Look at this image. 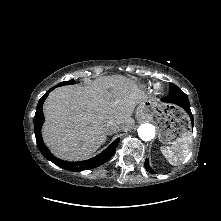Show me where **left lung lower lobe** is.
I'll list each match as a JSON object with an SVG mask.
<instances>
[{
	"instance_id": "left-lung-lower-lobe-1",
	"label": "left lung lower lobe",
	"mask_w": 221,
	"mask_h": 221,
	"mask_svg": "<svg viewBox=\"0 0 221 221\" xmlns=\"http://www.w3.org/2000/svg\"><path fill=\"white\" fill-rule=\"evenodd\" d=\"M163 102H167V103H171V104H175L178 105L180 107H182L190 116V119L192 121V127H193V116L190 110V102L188 100L187 95L181 91V92H175V93H171L168 96H166L165 98L162 99ZM145 168L148 172L150 173H155L149 166V160L146 159L145 160Z\"/></svg>"
}]
</instances>
